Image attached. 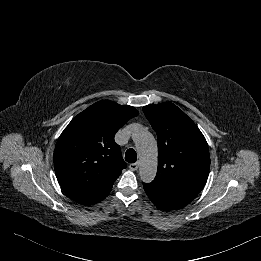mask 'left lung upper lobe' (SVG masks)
<instances>
[{"instance_id":"left-lung-upper-lobe-1","label":"left lung upper lobe","mask_w":261,"mask_h":261,"mask_svg":"<svg viewBox=\"0 0 261 261\" xmlns=\"http://www.w3.org/2000/svg\"><path fill=\"white\" fill-rule=\"evenodd\" d=\"M143 111L158 138V168L151 183L198 195L207 182L210 169L205 137L172 103L147 105Z\"/></svg>"}]
</instances>
